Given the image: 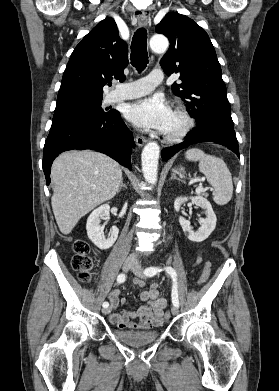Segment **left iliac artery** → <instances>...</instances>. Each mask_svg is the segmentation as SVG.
Wrapping results in <instances>:
<instances>
[{"instance_id": "obj_1", "label": "left iliac artery", "mask_w": 279, "mask_h": 391, "mask_svg": "<svg viewBox=\"0 0 279 391\" xmlns=\"http://www.w3.org/2000/svg\"><path fill=\"white\" fill-rule=\"evenodd\" d=\"M163 269L158 268V267H149L146 268L144 273L146 276H154L158 272H161ZM164 270L171 276L172 281H173V286H172V303L174 306L179 307V299H178V291H177V274L176 271L170 267H164Z\"/></svg>"}]
</instances>
